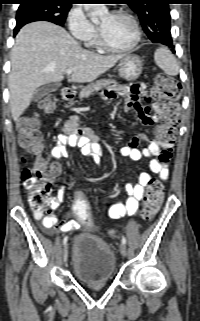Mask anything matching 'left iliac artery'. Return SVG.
<instances>
[{"instance_id": "44dca946", "label": "left iliac artery", "mask_w": 200, "mask_h": 321, "mask_svg": "<svg viewBox=\"0 0 200 321\" xmlns=\"http://www.w3.org/2000/svg\"><path fill=\"white\" fill-rule=\"evenodd\" d=\"M121 241H122L123 244H126V238L124 236L122 237Z\"/></svg>"}]
</instances>
